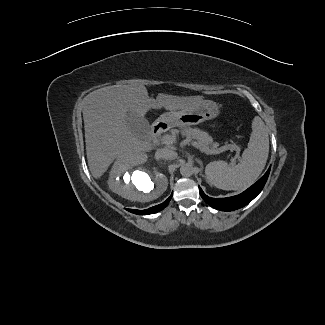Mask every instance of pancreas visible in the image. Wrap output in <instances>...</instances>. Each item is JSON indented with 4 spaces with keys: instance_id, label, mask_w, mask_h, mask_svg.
<instances>
[{
    "instance_id": "cf45deb5",
    "label": "pancreas",
    "mask_w": 325,
    "mask_h": 325,
    "mask_svg": "<svg viewBox=\"0 0 325 325\" xmlns=\"http://www.w3.org/2000/svg\"><path fill=\"white\" fill-rule=\"evenodd\" d=\"M183 134L192 139H196L200 150L215 151L218 147V144L213 142L210 135L199 129L185 128Z\"/></svg>"
}]
</instances>
